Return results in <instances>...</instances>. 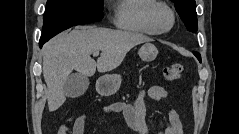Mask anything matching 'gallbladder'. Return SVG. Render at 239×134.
<instances>
[{"label": "gallbladder", "instance_id": "gallbladder-1", "mask_svg": "<svg viewBox=\"0 0 239 134\" xmlns=\"http://www.w3.org/2000/svg\"><path fill=\"white\" fill-rule=\"evenodd\" d=\"M89 86V79L80 73L71 74L64 85L66 96L76 98L83 95Z\"/></svg>", "mask_w": 239, "mask_h": 134}]
</instances>
